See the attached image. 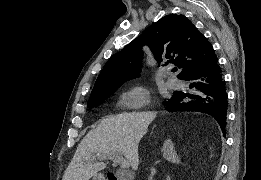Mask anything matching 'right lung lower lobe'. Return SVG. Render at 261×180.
Instances as JSON below:
<instances>
[{
  "mask_svg": "<svg viewBox=\"0 0 261 180\" xmlns=\"http://www.w3.org/2000/svg\"><path fill=\"white\" fill-rule=\"evenodd\" d=\"M183 80L189 82L192 93L174 92L173 96L164 102L166 110L209 114L216 119L225 136L228 95L217 61L193 70Z\"/></svg>",
  "mask_w": 261,
  "mask_h": 180,
  "instance_id": "1",
  "label": "right lung lower lobe"
}]
</instances>
